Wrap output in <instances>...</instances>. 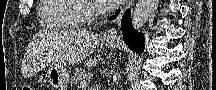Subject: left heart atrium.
<instances>
[{
  "label": "left heart atrium",
  "mask_w": 216,
  "mask_h": 90,
  "mask_svg": "<svg viewBox=\"0 0 216 90\" xmlns=\"http://www.w3.org/2000/svg\"><path fill=\"white\" fill-rule=\"evenodd\" d=\"M123 0H96L100 10H117V7H121Z\"/></svg>",
  "instance_id": "39dd6f15"
}]
</instances>
